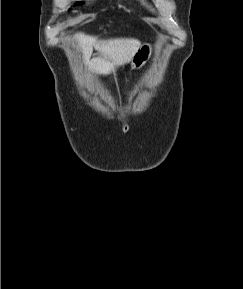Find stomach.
Instances as JSON below:
<instances>
[{"instance_id": "obj_1", "label": "stomach", "mask_w": 243, "mask_h": 289, "mask_svg": "<svg viewBox=\"0 0 243 289\" xmlns=\"http://www.w3.org/2000/svg\"><path fill=\"white\" fill-rule=\"evenodd\" d=\"M152 52V46L150 44L141 45L132 58L131 68L140 69L143 67L152 56Z\"/></svg>"}]
</instances>
